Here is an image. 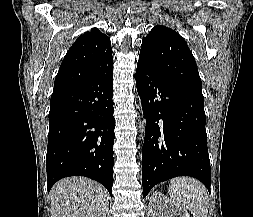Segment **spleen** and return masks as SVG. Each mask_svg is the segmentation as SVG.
<instances>
[{
	"instance_id": "1",
	"label": "spleen",
	"mask_w": 253,
	"mask_h": 217,
	"mask_svg": "<svg viewBox=\"0 0 253 217\" xmlns=\"http://www.w3.org/2000/svg\"><path fill=\"white\" fill-rule=\"evenodd\" d=\"M169 195L171 201L187 208L193 217H207L208 196L205 187L190 177H177L170 180Z\"/></svg>"
}]
</instances>
